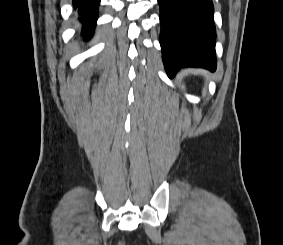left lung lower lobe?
Here are the masks:
<instances>
[{"label": "left lung lower lobe", "mask_w": 283, "mask_h": 245, "mask_svg": "<svg viewBox=\"0 0 283 245\" xmlns=\"http://www.w3.org/2000/svg\"><path fill=\"white\" fill-rule=\"evenodd\" d=\"M160 44L170 78L182 67L215 71V25L212 0H158Z\"/></svg>", "instance_id": "1"}]
</instances>
